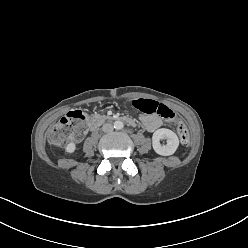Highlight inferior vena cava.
I'll list each match as a JSON object with an SVG mask.
<instances>
[{
	"instance_id": "602c4592",
	"label": "inferior vena cava",
	"mask_w": 248,
	"mask_h": 248,
	"mask_svg": "<svg viewBox=\"0 0 248 248\" xmlns=\"http://www.w3.org/2000/svg\"><path fill=\"white\" fill-rule=\"evenodd\" d=\"M102 130L103 132L105 133H110L113 131V125L110 124V123H105L103 126H102Z\"/></svg>"
}]
</instances>
